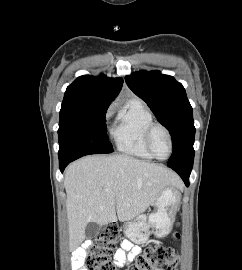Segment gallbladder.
I'll return each mask as SVG.
<instances>
[{
    "mask_svg": "<svg viewBox=\"0 0 242 270\" xmlns=\"http://www.w3.org/2000/svg\"><path fill=\"white\" fill-rule=\"evenodd\" d=\"M100 227L97 223L90 222L85 228V234L88 238H94L99 233Z\"/></svg>",
    "mask_w": 242,
    "mask_h": 270,
    "instance_id": "gallbladder-1",
    "label": "gallbladder"
}]
</instances>
